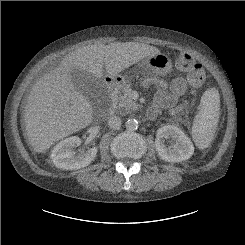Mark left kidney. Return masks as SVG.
Returning a JSON list of instances; mask_svg holds the SVG:
<instances>
[{
	"mask_svg": "<svg viewBox=\"0 0 245 245\" xmlns=\"http://www.w3.org/2000/svg\"><path fill=\"white\" fill-rule=\"evenodd\" d=\"M164 138H171L172 147L164 144ZM155 148L159 157L167 162H182L189 159L194 153V146L190 138L178 127L164 125L157 130Z\"/></svg>",
	"mask_w": 245,
	"mask_h": 245,
	"instance_id": "obj_1",
	"label": "left kidney"
}]
</instances>
